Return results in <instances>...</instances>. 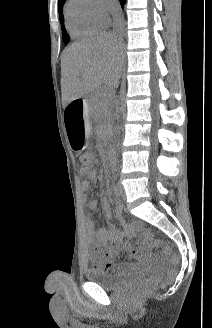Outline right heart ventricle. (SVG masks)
Instances as JSON below:
<instances>
[{
  "instance_id": "e07e8e85",
  "label": "right heart ventricle",
  "mask_w": 212,
  "mask_h": 328,
  "mask_svg": "<svg viewBox=\"0 0 212 328\" xmlns=\"http://www.w3.org/2000/svg\"><path fill=\"white\" fill-rule=\"evenodd\" d=\"M65 22L68 32L76 38L89 36L106 25V21L94 13L90 0H68Z\"/></svg>"
}]
</instances>
